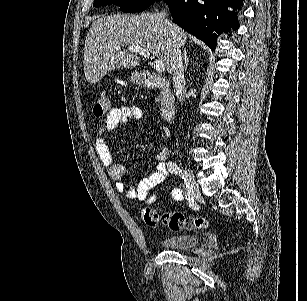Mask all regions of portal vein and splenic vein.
<instances>
[{"mask_svg": "<svg viewBox=\"0 0 307 301\" xmlns=\"http://www.w3.org/2000/svg\"><path fill=\"white\" fill-rule=\"evenodd\" d=\"M115 48L116 50H121V46H115ZM128 50L129 52H137V54H142V56H145V58H152L147 48H141V46H128ZM152 64L157 72H164L165 64H163L162 60H153Z\"/></svg>", "mask_w": 307, "mask_h": 301, "instance_id": "portal-vein-and-splenic-vein-1", "label": "portal vein and splenic vein"}]
</instances>
